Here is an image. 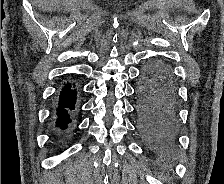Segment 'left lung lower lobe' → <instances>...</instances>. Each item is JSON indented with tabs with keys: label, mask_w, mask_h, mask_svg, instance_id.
<instances>
[{
	"label": "left lung lower lobe",
	"mask_w": 224,
	"mask_h": 184,
	"mask_svg": "<svg viewBox=\"0 0 224 184\" xmlns=\"http://www.w3.org/2000/svg\"><path fill=\"white\" fill-rule=\"evenodd\" d=\"M177 88L171 70L151 60L137 87L138 128L151 144L170 147L178 133Z\"/></svg>",
	"instance_id": "obj_1"
}]
</instances>
